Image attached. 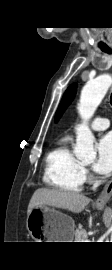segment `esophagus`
<instances>
[{
	"mask_svg": "<svg viewBox=\"0 0 112 270\" xmlns=\"http://www.w3.org/2000/svg\"><path fill=\"white\" fill-rule=\"evenodd\" d=\"M112 197V178L107 182L101 194L95 201V205L98 207L105 206Z\"/></svg>",
	"mask_w": 112,
	"mask_h": 270,
	"instance_id": "obj_1",
	"label": "esophagus"
}]
</instances>
